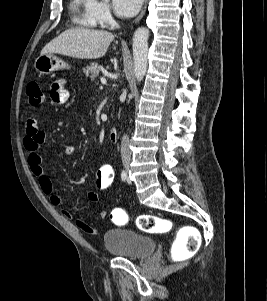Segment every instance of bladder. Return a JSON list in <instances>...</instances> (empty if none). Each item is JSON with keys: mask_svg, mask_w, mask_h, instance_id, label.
<instances>
[{"mask_svg": "<svg viewBox=\"0 0 267 301\" xmlns=\"http://www.w3.org/2000/svg\"><path fill=\"white\" fill-rule=\"evenodd\" d=\"M103 245L112 254L128 259H140L151 255L156 249L155 241L144 235L123 228L105 231Z\"/></svg>", "mask_w": 267, "mask_h": 301, "instance_id": "obj_1", "label": "bladder"}]
</instances>
